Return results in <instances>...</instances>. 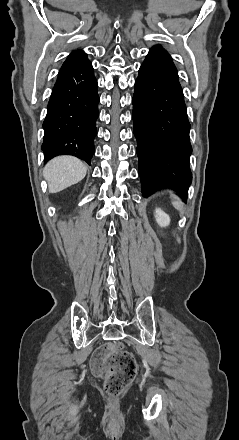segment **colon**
I'll return each instance as SVG.
<instances>
[{
	"mask_svg": "<svg viewBox=\"0 0 239 440\" xmlns=\"http://www.w3.org/2000/svg\"><path fill=\"white\" fill-rule=\"evenodd\" d=\"M93 372L104 379L109 394L121 393L133 380L137 364L134 356L121 346L107 344L98 348L92 358Z\"/></svg>",
	"mask_w": 239,
	"mask_h": 440,
	"instance_id": "colon-1",
	"label": "colon"
}]
</instances>
